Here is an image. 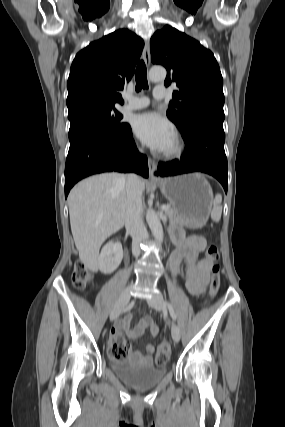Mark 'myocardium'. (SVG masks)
Wrapping results in <instances>:
<instances>
[{
  "instance_id": "1",
  "label": "myocardium",
  "mask_w": 285,
  "mask_h": 427,
  "mask_svg": "<svg viewBox=\"0 0 285 427\" xmlns=\"http://www.w3.org/2000/svg\"><path fill=\"white\" fill-rule=\"evenodd\" d=\"M185 148V142L182 138V136L178 133H175L174 139H173V145L171 148L166 150L163 153V157L166 159H174L179 157Z\"/></svg>"
}]
</instances>
